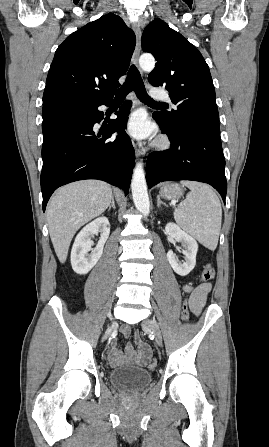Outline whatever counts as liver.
<instances>
[{
    "instance_id": "1",
    "label": "liver",
    "mask_w": 269,
    "mask_h": 447,
    "mask_svg": "<svg viewBox=\"0 0 269 447\" xmlns=\"http://www.w3.org/2000/svg\"><path fill=\"white\" fill-rule=\"evenodd\" d=\"M112 196L111 186L99 180L73 182L55 192L47 206V222L61 263L67 259L70 241L77 229L103 214Z\"/></svg>"
}]
</instances>
